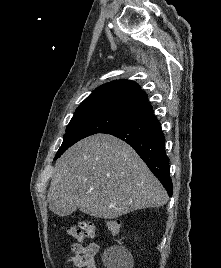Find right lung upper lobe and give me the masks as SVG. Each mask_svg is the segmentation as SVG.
Returning <instances> with one entry per match:
<instances>
[{
  "label": "right lung upper lobe",
  "mask_w": 221,
  "mask_h": 268,
  "mask_svg": "<svg viewBox=\"0 0 221 268\" xmlns=\"http://www.w3.org/2000/svg\"><path fill=\"white\" fill-rule=\"evenodd\" d=\"M102 110L125 121L153 113L147 95L139 85L124 79L115 80L96 88L77 108L78 111Z\"/></svg>",
  "instance_id": "obj_1"
}]
</instances>
